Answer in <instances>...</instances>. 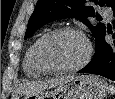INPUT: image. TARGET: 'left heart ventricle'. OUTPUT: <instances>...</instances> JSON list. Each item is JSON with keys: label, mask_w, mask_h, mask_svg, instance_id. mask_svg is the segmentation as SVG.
<instances>
[{"label": "left heart ventricle", "mask_w": 115, "mask_h": 99, "mask_svg": "<svg viewBox=\"0 0 115 99\" xmlns=\"http://www.w3.org/2000/svg\"><path fill=\"white\" fill-rule=\"evenodd\" d=\"M44 59L53 66L67 67L79 63L86 53L85 42L74 34H59L48 39L42 48Z\"/></svg>", "instance_id": "b2bd125f"}]
</instances>
